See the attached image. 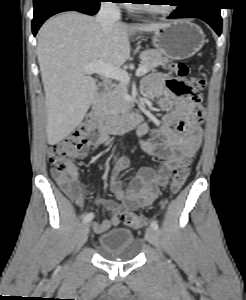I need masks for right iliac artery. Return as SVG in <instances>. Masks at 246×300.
Instances as JSON below:
<instances>
[{
  "label": "right iliac artery",
  "instance_id": "1",
  "mask_svg": "<svg viewBox=\"0 0 246 300\" xmlns=\"http://www.w3.org/2000/svg\"><path fill=\"white\" fill-rule=\"evenodd\" d=\"M93 217H94V214H93V213H88V214H86V216L84 217L83 222H84V223L90 222V221L93 219Z\"/></svg>",
  "mask_w": 246,
  "mask_h": 300
}]
</instances>
